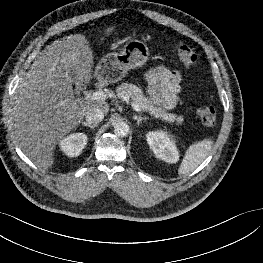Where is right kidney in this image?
<instances>
[{
    "label": "right kidney",
    "mask_w": 263,
    "mask_h": 263,
    "mask_svg": "<svg viewBox=\"0 0 263 263\" xmlns=\"http://www.w3.org/2000/svg\"><path fill=\"white\" fill-rule=\"evenodd\" d=\"M87 144V135L74 133L60 141L61 150L69 157H77Z\"/></svg>",
    "instance_id": "obj_1"
}]
</instances>
